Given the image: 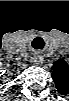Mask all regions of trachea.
<instances>
[{"label":"trachea","instance_id":"1","mask_svg":"<svg viewBox=\"0 0 69 101\" xmlns=\"http://www.w3.org/2000/svg\"><path fill=\"white\" fill-rule=\"evenodd\" d=\"M35 41H38V39L37 40H35ZM33 47H34V44H33ZM35 48V47H34ZM35 49H41V48H35Z\"/></svg>","mask_w":69,"mask_h":101}]
</instances>
